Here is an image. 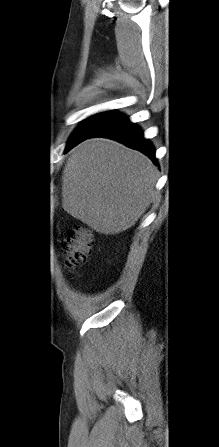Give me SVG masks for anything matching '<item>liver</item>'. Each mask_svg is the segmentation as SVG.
Here are the masks:
<instances>
[{
    "label": "liver",
    "mask_w": 219,
    "mask_h": 447,
    "mask_svg": "<svg viewBox=\"0 0 219 447\" xmlns=\"http://www.w3.org/2000/svg\"><path fill=\"white\" fill-rule=\"evenodd\" d=\"M158 175L142 153L105 138L77 145L63 171L62 207L100 234L133 226L155 199Z\"/></svg>",
    "instance_id": "6515ba94"
}]
</instances>
